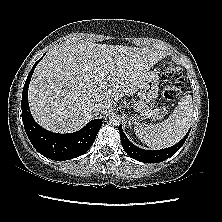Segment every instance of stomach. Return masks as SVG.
<instances>
[{
    "mask_svg": "<svg viewBox=\"0 0 222 222\" xmlns=\"http://www.w3.org/2000/svg\"><path fill=\"white\" fill-rule=\"evenodd\" d=\"M158 84V74L154 71H147L144 75V80L139 87L138 97L140 101L138 104L140 107H136L138 113L134 116L137 121H140L142 117L145 116V114L142 113V107L152 109L153 103H151V106H148V103L157 98L159 90Z\"/></svg>",
    "mask_w": 222,
    "mask_h": 222,
    "instance_id": "0dacf381",
    "label": "stomach"
}]
</instances>
